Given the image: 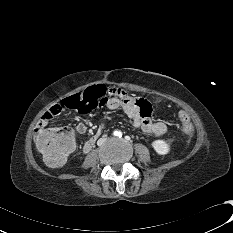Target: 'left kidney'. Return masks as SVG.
<instances>
[{"mask_svg": "<svg viewBox=\"0 0 233 233\" xmlns=\"http://www.w3.org/2000/svg\"><path fill=\"white\" fill-rule=\"evenodd\" d=\"M151 145L159 155H166L170 151V145L162 139L154 140Z\"/></svg>", "mask_w": 233, "mask_h": 233, "instance_id": "obj_1", "label": "left kidney"}]
</instances>
